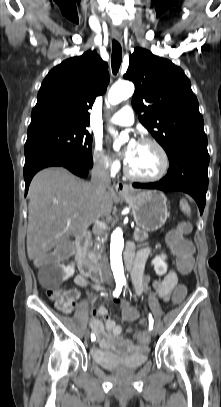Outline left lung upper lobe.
<instances>
[{"instance_id": "1", "label": "left lung upper lobe", "mask_w": 221, "mask_h": 407, "mask_svg": "<svg viewBox=\"0 0 221 407\" xmlns=\"http://www.w3.org/2000/svg\"><path fill=\"white\" fill-rule=\"evenodd\" d=\"M124 78L135 84L132 106L140 113V122L167 155L184 140L207 139L197 98L181 68L136 48Z\"/></svg>"}]
</instances>
